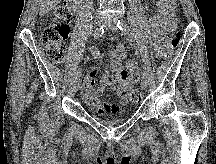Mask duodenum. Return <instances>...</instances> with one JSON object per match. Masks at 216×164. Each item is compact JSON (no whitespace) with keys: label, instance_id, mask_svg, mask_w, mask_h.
<instances>
[{"label":"duodenum","instance_id":"410a0bca","mask_svg":"<svg viewBox=\"0 0 216 164\" xmlns=\"http://www.w3.org/2000/svg\"><path fill=\"white\" fill-rule=\"evenodd\" d=\"M70 2L73 8H78L80 7L82 0H70Z\"/></svg>","mask_w":216,"mask_h":164}]
</instances>
